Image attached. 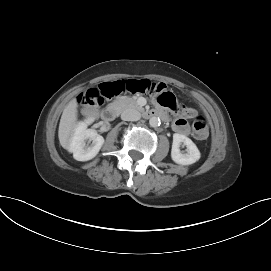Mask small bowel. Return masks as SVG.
Listing matches in <instances>:
<instances>
[{"label":"small bowel","instance_id":"obj_1","mask_svg":"<svg viewBox=\"0 0 271 271\" xmlns=\"http://www.w3.org/2000/svg\"><path fill=\"white\" fill-rule=\"evenodd\" d=\"M156 87L157 89H166L167 87V82L166 80H157L156 82ZM193 114V112L191 111L190 115ZM173 129L182 135H188L190 133V127L188 122L182 118L179 117L177 118L174 123H173Z\"/></svg>","mask_w":271,"mask_h":271}]
</instances>
